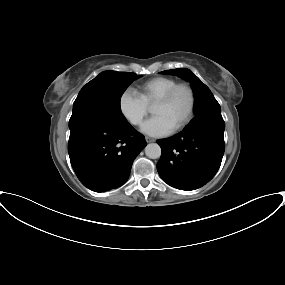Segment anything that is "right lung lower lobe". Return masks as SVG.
Instances as JSON below:
<instances>
[{
    "instance_id": "1",
    "label": "right lung lower lobe",
    "mask_w": 285,
    "mask_h": 285,
    "mask_svg": "<svg viewBox=\"0 0 285 285\" xmlns=\"http://www.w3.org/2000/svg\"><path fill=\"white\" fill-rule=\"evenodd\" d=\"M145 146L144 136L128 122L87 119L70 128L68 153L81 183L103 192L127 181L134 159Z\"/></svg>"
}]
</instances>
